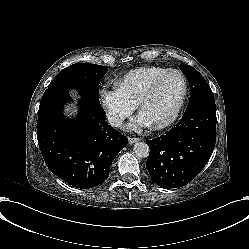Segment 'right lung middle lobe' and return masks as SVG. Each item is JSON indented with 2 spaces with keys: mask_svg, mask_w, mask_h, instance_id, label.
<instances>
[{
  "mask_svg": "<svg viewBox=\"0 0 249 249\" xmlns=\"http://www.w3.org/2000/svg\"><path fill=\"white\" fill-rule=\"evenodd\" d=\"M107 70L106 66L76 63L63 69L48 88L69 89L76 86L86 100L95 105H100L99 84Z\"/></svg>",
  "mask_w": 249,
  "mask_h": 249,
  "instance_id": "1",
  "label": "right lung middle lobe"
}]
</instances>
